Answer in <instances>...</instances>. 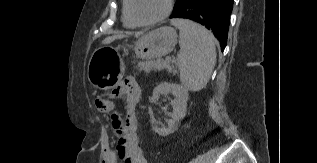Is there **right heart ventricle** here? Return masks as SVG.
Segmentation results:
<instances>
[{"label":"right heart ventricle","instance_id":"obj_1","mask_svg":"<svg viewBox=\"0 0 317 163\" xmlns=\"http://www.w3.org/2000/svg\"><path fill=\"white\" fill-rule=\"evenodd\" d=\"M122 23L126 28H134L136 26L129 17L128 10H127V0H123Z\"/></svg>","mask_w":317,"mask_h":163}]
</instances>
